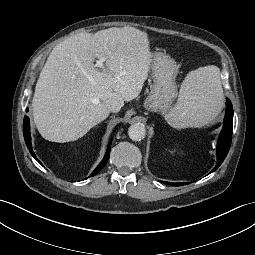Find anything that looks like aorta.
<instances>
[{
  "mask_svg": "<svg viewBox=\"0 0 255 255\" xmlns=\"http://www.w3.org/2000/svg\"><path fill=\"white\" fill-rule=\"evenodd\" d=\"M146 129L143 124L136 123L129 127L128 135L134 141H140L145 137Z\"/></svg>",
  "mask_w": 255,
  "mask_h": 255,
  "instance_id": "aorta-1",
  "label": "aorta"
}]
</instances>
